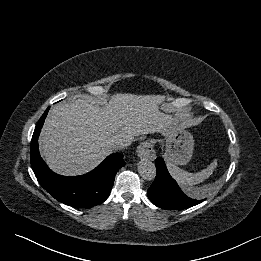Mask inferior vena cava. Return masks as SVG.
<instances>
[{
    "instance_id": "obj_1",
    "label": "inferior vena cava",
    "mask_w": 261,
    "mask_h": 261,
    "mask_svg": "<svg viewBox=\"0 0 261 261\" xmlns=\"http://www.w3.org/2000/svg\"><path fill=\"white\" fill-rule=\"evenodd\" d=\"M130 145V142L128 140L125 139H117L114 143H113V148L114 149H123L127 146Z\"/></svg>"
}]
</instances>
